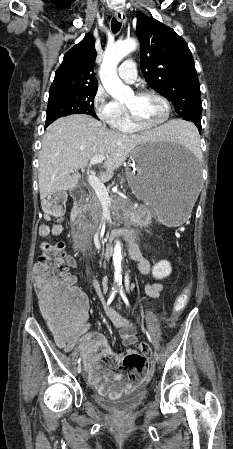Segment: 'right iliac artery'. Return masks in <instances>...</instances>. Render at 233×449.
<instances>
[{
	"instance_id": "1",
	"label": "right iliac artery",
	"mask_w": 233,
	"mask_h": 449,
	"mask_svg": "<svg viewBox=\"0 0 233 449\" xmlns=\"http://www.w3.org/2000/svg\"><path fill=\"white\" fill-rule=\"evenodd\" d=\"M116 292H117V291H116V288H112V292H111V294H110V296H109V298H108V301H107V303H106V305H105V309H106V308L110 305V303L113 301ZM80 362H81V358L78 359V365L80 364Z\"/></svg>"
}]
</instances>
